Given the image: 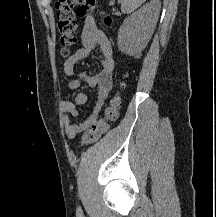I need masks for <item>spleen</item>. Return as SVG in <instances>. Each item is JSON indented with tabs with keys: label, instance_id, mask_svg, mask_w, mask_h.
<instances>
[{
	"label": "spleen",
	"instance_id": "1",
	"mask_svg": "<svg viewBox=\"0 0 216 217\" xmlns=\"http://www.w3.org/2000/svg\"><path fill=\"white\" fill-rule=\"evenodd\" d=\"M121 11L124 14L132 13L140 7L146 0H121Z\"/></svg>",
	"mask_w": 216,
	"mask_h": 217
}]
</instances>
